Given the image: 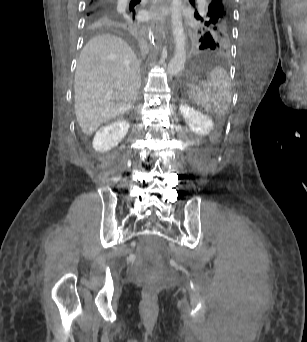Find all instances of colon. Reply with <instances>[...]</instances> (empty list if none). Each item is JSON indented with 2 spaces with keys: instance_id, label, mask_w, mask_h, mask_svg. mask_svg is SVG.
<instances>
[{
  "instance_id": "obj_1",
  "label": "colon",
  "mask_w": 307,
  "mask_h": 342,
  "mask_svg": "<svg viewBox=\"0 0 307 342\" xmlns=\"http://www.w3.org/2000/svg\"><path fill=\"white\" fill-rule=\"evenodd\" d=\"M167 271L166 266H157L156 269H151L150 270V278L149 281L146 282V287L147 288H152L153 283H159L160 278L159 276H165Z\"/></svg>"
}]
</instances>
